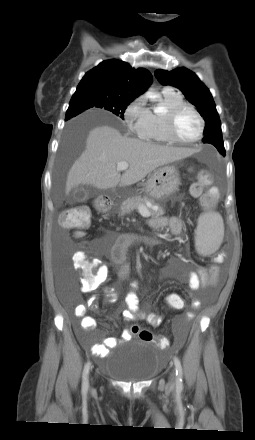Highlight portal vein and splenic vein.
<instances>
[{
    "mask_svg": "<svg viewBox=\"0 0 255 440\" xmlns=\"http://www.w3.org/2000/svg\"><path fill=\"white\" fill-rule=\"evenodd\" d=\"M128 167H129V165H128L127 162H120V163L117 164V170H119V171L127 170ZM138 210H139V213H140L143 217H149V216H150V212H149V210H148L145 206L140 205V206L138 207Z\"/></svg>",
    "mask_w": 255,
    "mask_h": 440,
    "instance_id": "18ae733b",
    "label": "portal vein and splenic vein"
}]
</instances>
